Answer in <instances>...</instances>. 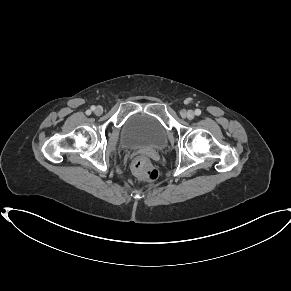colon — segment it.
Returning <instances> with one entry per match:
<instances>
[{
    "mask_svg": "<svg viewBox=\"0 0 291 291\" xmlns=\"http://www.w3.org/2000/svg\"><path fill=\"white\" fill-rule=\"evenodd\" d=\"M133 171L143 179L153 181L158 177V171L143 158H137L133 163Z\"/></svg>",
    "mask_w": 291,
    "mask_h": 291,
    "instance_id": "5ec220e1",
    "label": "colon"
}]
</instances>
